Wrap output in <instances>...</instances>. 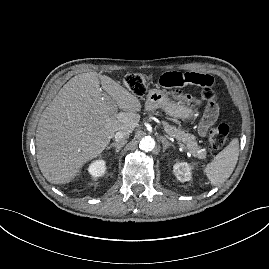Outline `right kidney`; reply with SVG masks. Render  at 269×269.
Returning a JSON list of instances; mask_svg holds the SVG:
<instances>
[{
	"label": "right kidney",
	"instance_id": "right-kidney-1",
	"mask_svg": "<svg viewBox=\"0 0 269 269\" xmlns=\"http://www.w3.org/2000/svg\"><path fill=\"white\" fill-rule=\"evenodd\" d=\"M88 172L93 179L103 176L106 172V162L104 160H96L90 164Z\"/></svg>",
	"mask_w": 269,
	"mask_h": 269
}]
</instances>
